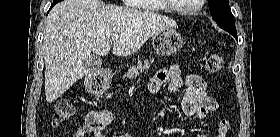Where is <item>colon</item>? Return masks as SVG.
Instances as JSON below:
<instances>
[{"label": "colon", "mask_w": 280, "mask_h": 137, "mask_svg": "<svg viewBox=\"0 0 280 137\" xmlns=\"http://www.w3.org/2000/svg\"><path fill=\"white\" fill-rule=\"evenodd\" d=\"M224 67V58L218 53L209 55L205 61V70L208 74L213 75L220 72ZM73 115V107L66 99H58L54 105V116L53 121L55 124H60ZM230 124H222L218 126L217 137H225Z\"/></svg>", "instance_id": "5ec220e1"}]
</instances>
